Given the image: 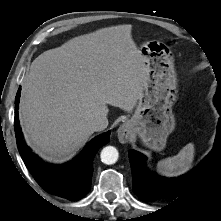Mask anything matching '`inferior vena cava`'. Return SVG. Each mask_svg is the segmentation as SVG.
Returning a JSON list of instances; mask_svg holds the SVG:
<instances>
[{"mask_svg": "<svg viewBox=\"0 0 221 221\" xmlns=\"http://www.w3.org/2000/svg\"><path fill=\"white\" fill-rule=\"evenodd\" d=\"M93 131H102L108 126L106 115H97L90 123Z\"/></svg>", "mask_w": 221, "mask_h": 221, "instance_id": "obj_1", "label": "inferior vena cava"}]
</instances>
